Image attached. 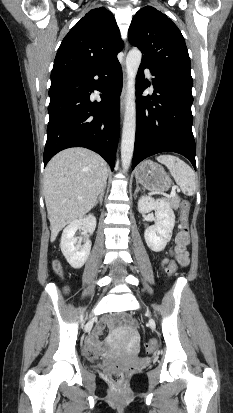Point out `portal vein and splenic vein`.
<instances>
[{"label": "portal vein and splenic vein", "mask_w": 233, "mask_h": 413, "mask_svg": "<svg viewBox=\"0 0 233 413\" xmlns=\"http://www.w3.org/2000/svg\"><path fill=\"white\" fill-rule=\"evenodd\" d=\"M177 191H179V189H177ZM175 195H176V189L174 188V189L171 190V193H170L169 197L172 198Z\"/></svg>", "instance_id": "portal-vein-and-splenic-vein-1"}]
</instances>
